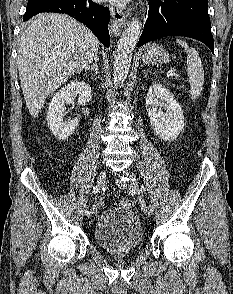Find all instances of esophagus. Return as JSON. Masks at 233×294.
Instances as JSON below:
<instances>
[{"mask_svg": "<svg viewBox=\"0 0 233 294\" xmlns=\"http://www.w3.org/2000/svg\"><path fill=\"white\" fill-rule=\"evenodd\" d=\"M110 13L112 17L110 31L113 35H118L120 29L126 25L127 15L122 10L114 7L110 8Z\"/></svg>", "mask_w": 233, "mask_h": 294, "instance_id": "esophagus-1", "label": "esophagus"}]
</instances>
